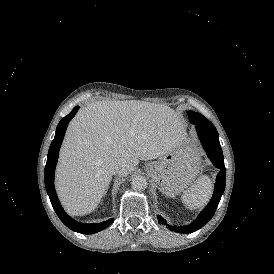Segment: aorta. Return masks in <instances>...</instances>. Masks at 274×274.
<instances>
[{"label":"aorta","mask_w":274,"mask_h":274,"mask_svg":"<svg viewBox=\"0 0 274 274\" xmlns=\"http://www.w3.org/2000/svg\"><path fill=\"white\" fill-rule=\"evenodd\" d=\"M131 184L136 190H143L148 186L146 178L140 175L134 176L131 180Z\"/></svg>","instance_id":"obj_1"}]
</instances>
